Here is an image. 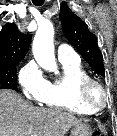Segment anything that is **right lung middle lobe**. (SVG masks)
Here are the masks:
<instances>
[{"instance_id":"obj_1","label":"right lung middle lobe","mask_w":117,"mask_h":136,"mask_svg":"<svg viewBox=\"0 0 117 136\" xmlns=\"http://www.w3.org/2000/svg\"><path fill=\"white\" fill-rule=\"evenodd\" d=\"M18 63L0 64V89H17L16 66Z\"/></svg>"}]
</instances>
